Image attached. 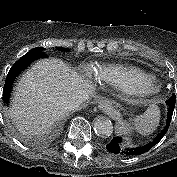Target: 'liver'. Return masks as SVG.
Here are the masks:
<instances>
[{
  "label": "liver",
  "instance_id": "6515ba94",
  "mask_svg": "<svg viewBox=\"0 0 177 177\" xmlns=\"http://www.w3.org/2000/svg\"><path fill=\"white\" fill-rule=\"evenodd\" d=\"M92 93L91 82L63 61L41 59L18 81L8 115L22 134L39 135L64 117L60 107L64 98Z\"/></svg>",
  "mask_w": 177,
  "mask_h": 177
}]
</instances>
